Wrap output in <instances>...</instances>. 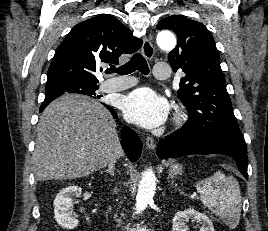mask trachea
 <instances>
[{
	"label": "trachea",
	"instance_id": "3493384b",
	"mask_svg": "<svg viewBox=\"0 0 268 231\" xmlns=\"http://www.w3.org/2000/svg\"><path fill=\"white\" fill-rule=\"evenodd\" d=\"M140 71L144 75L149 74V67L145 58L140 54H135L132 58L125 64L116 68L115 66H111L106 70V74L118 73L119 75H127L134 71Z\"/></svg>",
	"mask_w": 268,
	"mask_h": 231
}]
</instances>
